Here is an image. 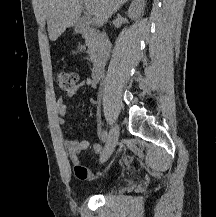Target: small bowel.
Masks as SVG:
<instances>
[{"label":"small bowel","mask_w":216,"mask_h":217,"mask_svg":"<svg viewBox=\"0 0 216 217\" xmlns=\"http://www.w3.org/2000/svg\"><path fill=\"white\" fill-rule=\"evenodd\" d=\"M102 71L96 75H91L87 77L81 84L76 86L74 89L66 91L61 97L56 101L57 112L60 116L59 123L63 125L65 123L64 117L66 115V104L65 98L72 97L75 95H86L87 88H95ZM64 145L69 159L75 167V175L77 179L81 181H87L94 179L95 176L90 169L83 166L80 161V153L91 146V143L86 140H79L71 136H66L64 139ZM94 151L98 154L103 153L102 147L100 144H92Z\"/></svg>","instance_id":"obj_1"}]
</instances>
